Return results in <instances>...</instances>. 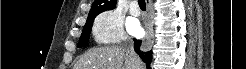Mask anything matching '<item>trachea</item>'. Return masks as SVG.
<instances>
[{
	"instance_id": "3493384b",
	"label": "trachea",
	"mask_w": 246,
	"mask_h": 69,
	"mask_svg": "<svg viewBox=\"0 0 246 69\" xmlns=\"http://www.w3.org/2000/svg\"><path fill=\"white\" fill-rule=\"evenodd\" d=\"M138 4H139V7H140L142 10H146V3H145V0H138Z\"/></svg>"
}]
</instances>
